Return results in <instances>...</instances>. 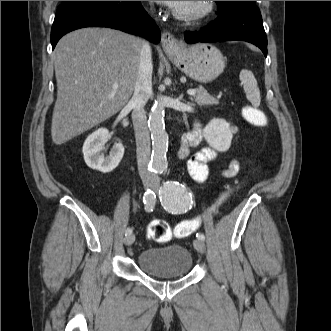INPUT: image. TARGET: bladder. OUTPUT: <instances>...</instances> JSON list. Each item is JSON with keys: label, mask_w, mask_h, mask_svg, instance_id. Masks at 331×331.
Returning a JSON list of instances; mask_svg holds the SVG:
<instances>
[{"label": "bladder", "mask_w": 331, "mask_h": 331, "mask_svg": "<svg viewBox=\"0 0 331 331\" xmlns=\"http://www.w3.org/2000/svg\"><path fill=\"white\" fill-rule=\"evenodd\" d=\"M139 268L149 277L174 279L187 276L193 267V258L182 244L148 247L137 258Z\"/></svg>", "instance_id": "1"}]
</instances>
